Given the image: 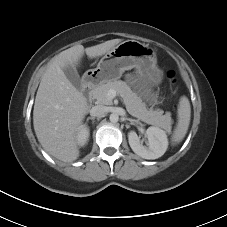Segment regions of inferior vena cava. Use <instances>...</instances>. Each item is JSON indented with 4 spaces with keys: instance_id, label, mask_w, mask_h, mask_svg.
Masks as SVG:
<instances>
[{
    "instance_id": "602c4592",
    "label": "inferior vena cava",
    "mask_w": 227,
    "mask_h": 227,
    "mask_svg": "<svg viewBox=\"0 0 227 227\" xmlns=\"http://www.w3.org/2000/svg\"><path fill=\"white\" fill-rule=\"evenodd\" d=\"M106 107L102 105H97L91 108L90 115L92 117H101L105 114Z\"/></svg>"
}]
</instances>
